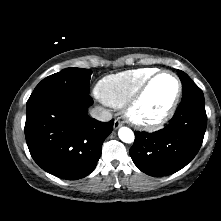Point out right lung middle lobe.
<instances>
[{
	"label": "right lung middle lobe",
	"mask_w": 221,
	"mask_h": 221,
	"mask_svg": "<svg viewBox=\"0 0 221 221\" xmlns=\"http://www.w3.org/2000/svg\"><path fill=\"white\" fill-rule=\"evenodd\" d=\"M91 74L89 69L70 67L50 75L36 86L27 103L58 92H89Z\"/></svg>",
	"instance_id": "1"
}]
</instances>
